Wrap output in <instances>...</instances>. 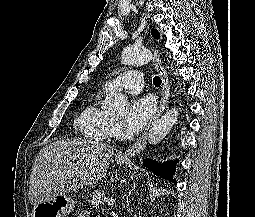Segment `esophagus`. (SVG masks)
<instances>
[{
    "instance_id": "1",
    "label": "esophagus",
    "mask_w": 255,
    "mask_h": 217,
    "mask_svg": "<svg viewBox=\"0 0 255 217\" xmlns=\"http://www.w3.org/2000/svg\"><path fill=\"white\" fill-rule=\"evenodd\" d=\"M152 52H153L154 66L162 80V94H161V98L159 101V106H158V109H157L153 119L149 123V126L144 131V133L141 135V137L131 147H129L126 151L119 152L117 154L118 158L128 159V158L138 154L140 151H142L145 148L148 130L153 125V123L161 116L162 112L164 111V109L166 107L167 101H168V97H169V93H170V84H169L168 75L162 65L158 50L152 49Z\"/></svg>"
}]
</instances>
